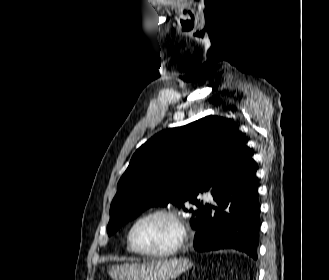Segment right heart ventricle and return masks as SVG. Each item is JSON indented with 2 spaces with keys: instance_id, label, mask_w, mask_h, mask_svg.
<instances>
[{
  "instance_id": "e07e8e85",
  "label": "right heart ventricle",
  "mask_w": 329,
  "mask_h": 280,
  "mask_svg": "<svg viewBox=\"0 0 329 280\" xmlns=\"http://www.w3.org/2000/svg\"><path fill=\"white\" fill-rule=\"evenodd\" d=\"M128 251L133 252L132 249L130 248L129 244H128Z\"/></svg>"
}]
</instances>
